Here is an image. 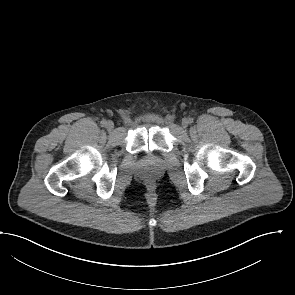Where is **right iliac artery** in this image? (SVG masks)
<instances>
[{
    "label": "right iliac artery",
    "mask_w": 295,
    "mask_h": 295,
    "mask_svg": "<svg viewBox=\"0 0 295 295\" xmlns=\"http://www.w3.org/2000/svg\"><path fill=\"white\" fill-rule=\"evenodd\" d=\"M105 125H106V120H102V121H101V126L104 127Z\"/></svg>",
    "instance_id": "1"
}]
</instances>
